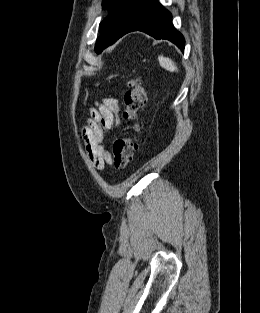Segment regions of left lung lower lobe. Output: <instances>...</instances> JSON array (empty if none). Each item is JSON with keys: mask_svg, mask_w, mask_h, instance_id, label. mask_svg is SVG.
<instances>
[{"mask_svg": "<svg viewBox=\"0 0 260 313\" xmlns=\"http://www.w3.org/2000/svg\"><path fill=\"white\" fill-rule=\"evenodd\" d=\"M132 31H142L155 39L169 40L176 44L181 51H184L183 36L174 28L171 13L158 3V0L145 9L123 32L122 36Z\"/></svg>", "mask_w": 260, "mask_h": 313, "instance_id": "obj_1", "label": "left lung lower lobe"}]
</instances>
